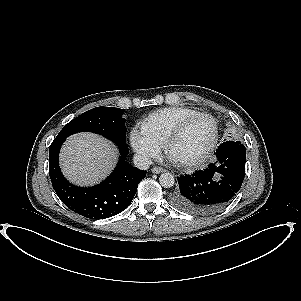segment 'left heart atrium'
<instances>
[{"label": "left heart atrium", "mask_w": 301, "mask_h": 301, "mask_svg": "<svg viewBox=\"0 0 301 301\" xmlns=\"http://www.w3.org/2000/svg\"><path fill=\"white\" fill-rule=\"evenodd\" d=\"M171 160H172L174 163H176V164H180V163H181V161H180L178 158L174 157V156H171Z\"/></svg>", "instance_id": "left-heart-atrium-1"}]
</instances>
